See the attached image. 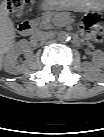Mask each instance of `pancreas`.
<instances>
[{
  "label": "pancreas",
  "mask_w": 104,
  "mask_h": 137,
  "mask_svg": "<svg viewBox=\"0 0 104 137\" xmlns=\"http://www.w3.org/2000/svg\"><path fill=\"white\" fill-rule=\"evenodd\" d=\"M45 15L42 18L34 20L37 25L43 28H51L54 26H61L65 23L66 15L62 13Z\"/></svg>",
  "instance_id": "1"
}]
</instances>
